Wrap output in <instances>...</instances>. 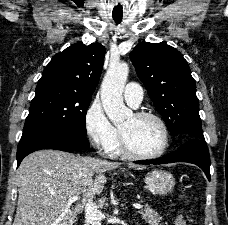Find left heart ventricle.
Returning <instances> with one entry per match:
<instances>
[{"label": "left heart ventricle", "mask_w": 228, "mask_h": 225, "mask_svg": "<svg viewBox=\"0 0 228 225\" xmlns=\"http://www.w3.org/2000/svg\"><path fill=\"white\" fill-rule=\"evenodd\" d=\"M121 130L125 133L131 148L141 154H154L163 146V129L153 119H138L133 115Z\"/></svg>", "instance_id": "1"}]
</instances>
